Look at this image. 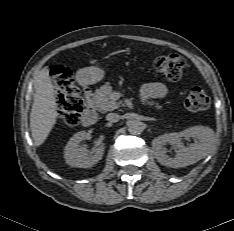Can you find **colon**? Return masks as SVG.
I'll use <instances>...</instances> for the list:
<instances>
[{"instance_id": "1", "label": "colon", "mask_w": 234, "mask_h": 231, "mask_svg": "<svg viewBox=\"0 0 234 231\" xmlns=\"http://www.w3.org/2000/svg\"><path fill=\"white\" fill-rule=\"evenodd\" d=\"M155 67L168 80L178 81L182 77L185 60L179 54H169L157 59ZM50 75L53 77L58 94L59 119L70 128L79 125L84 104L77 88L73 85L70 71L62 65H54L50 68ZM185 107L191 113L203 112L209 107V98L201 87H193L186 97Z\"/></svg>"}]
</instances>
